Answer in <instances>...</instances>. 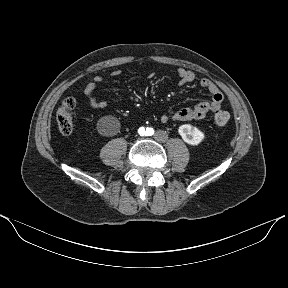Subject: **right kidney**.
Masks as SVG:
<instances>
[{
  "mask_svg": "<svg viewBox=\"0 0 288 288\" xmlns=\"http://www.w3.org/2000/svg\"><path fill=\"white\" fill-rule=\"evenodd\" d=\"M114 118L111 116L102 117L97 123L98 132L103 136H109L112 132L111 124Z\"/></svg>",
  "mask_w": 288,
  "mask_h": 288,
  "instance_id": "1",
  "label": "right kidney"
}]
</instances>
